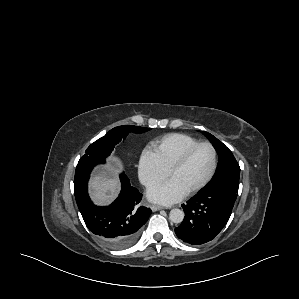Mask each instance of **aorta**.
Masks as SVG:
<instances>
[{
	"label": "aorta",
	"instance_id": "1",
	"mask_svg": "<svg viewBox=\"0 0 299 299\" xmlns=\"http://www.w3.org/2000/svg\"><path fill=\"white\" fill-rule=\"evenodd\" d=\"M169 219L173 223H181L184 220V212L180 209H172L169 213Z\"/></svg>",
	"mask_w": 299,
	"mask_h": 299
}]
</instances>
